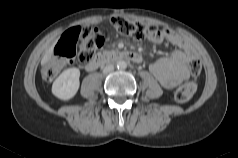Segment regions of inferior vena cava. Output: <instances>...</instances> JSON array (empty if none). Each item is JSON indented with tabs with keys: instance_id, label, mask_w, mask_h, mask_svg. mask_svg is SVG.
<instances>
[{
	"instance_id": "602c4592",
	"label": "inferior vena cava",
	"mask_w": 238,
	"mask_h": 158,
	"mask_svg": "<svg viewBox=\"0 0 238 158\" xmlns=\"http://www.w3.org/2000/svg\"><path fill=\"white\" fill-rule=\"evenodd\" d=\"M113 70H114V65L109 64V65H106V66L104 67L103 72H104V73H109V72H111V71H113Z\"/></svg>"
}]
</instances>
